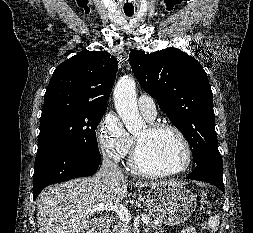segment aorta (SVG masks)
<instances>
[{"label":"aorta","instance_id":"obj_1","mask_svg":"<svg viewBox=\"0 0 253 233\" xmlns=\"http://www.w3.org/2000/svg\"><path fill=\"white\" fill-rule=\"evenodd\" d=\"M114 104L117 113L130 133H136L145 127L137 106L136 83L129 76H123L114 89Z\"/></svg>","mask_w":253,"mask_h":233}]
</instances>
